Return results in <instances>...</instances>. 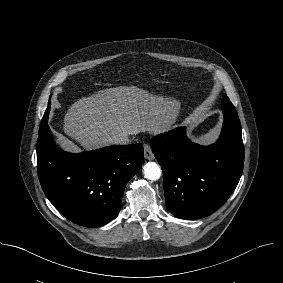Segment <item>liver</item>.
I'll return each instance as SVG.
<instances>
[{"instance_id": "1", "label": "liver", "mask_w": 283, "mask_h": 283, "mask_svg": "<svg viewBox=\"0 0 283 283\" xmlns=\"http://www.w3.org/2000/svg\"><path fill=\"white\" fill-rule=\"evenodd\" d=\"M180 104L136 86L109 88L74 102L65 114L63 131L85 150H93L111 145L120 133L164 131L177 117ZM60 139L74 147L68 139Z\"/></svg>"}]
</instances>
